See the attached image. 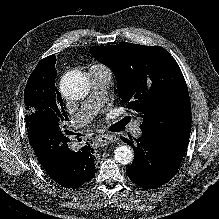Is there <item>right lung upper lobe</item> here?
<instances>
[{"mask_svg": "<svg viewBox=\"0 0 219 219\" xmlns=\"http://www.w3.org/2000/svg\"><path fill=\"white\" fill-rule=\"evenodd\" d=\"M47 58H49V59H55V61H56V57H55V55H50V56H48V57H46V58H44V59H47ZM44 59H42V60H44ZM41 60V61H42ZM55 86V85H54ZM59 93V92H58ZM59 96L61 97V95H60V93H59Z\"/></svg>", "mask_w": 219, "mask_h": 219, "instance_id": "cb5924a9", "label": "right lung upper lobe"}]
</instances>
